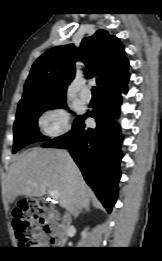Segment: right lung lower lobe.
<instances>
[{
	"label": "right lung lower lobe",
	"mask_w": 162,
	"mask_h": 261,
	"mask_svg": "<svg viewBox=\"0 0 162 261\" xmlns=\"http://www.w3.org/2000/svg\"><path fill=\"white\" fill-rule=\"evenodd\" d=\"M127 91L126 83L116 90L101 93L98 106L92 112L77 116L69 133L42 145L47 148H69L84 179L108 212L116 202L121 176L119 164L123 157L120 127L114 119L119 115L121 92ZM88 116L96 119L95 129L85 128L84 119Z\"/></svg>",
	"instance_id": "right-lung-lower-lobe-1"
}]
</instances>
